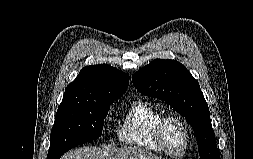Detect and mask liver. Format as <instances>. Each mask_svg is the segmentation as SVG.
Returning <instances> with one entry per match:
<instances>
[{
    "label": "liver",
    "mask_w": 253,
    "mask_h": 159,
    "mask_svg": "<svg viewBox=\"0 0 253 159\" xmlns=\"http://www.w3.org/2000/svg\"><path fill=\"white\" fill-rule=\"evenodd\" d=\"M61 159H161L151 152L139 148L126 146L111 148L110 146L83 147L69 151Z\"/></svg>",
    "instance_id": "obj_1"
}]
</instances>
